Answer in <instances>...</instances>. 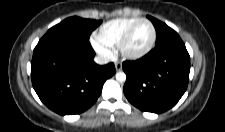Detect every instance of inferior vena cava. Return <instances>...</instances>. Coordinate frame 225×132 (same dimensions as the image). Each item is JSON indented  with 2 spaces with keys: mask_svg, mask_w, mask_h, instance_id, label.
<instances>
[{
  "mask_svg": "<svg viewBox=\"0 0 225 132\" xmlns=\"http://www.w3.org/2000/svg\"><path fill=\"white\" fill-rule=\"evenodd\" d=\"M94 61H95L97 64L104 65V64H107L110 60H109V58H107V57L96 56V57L94 58Z\"/></svg>",
  "mask_w": 225,
  "mask_h": 132,
  "instance_id": "inferior-vena-cava-1",
  "label": "inferior vena cava"
}]
</instances>
